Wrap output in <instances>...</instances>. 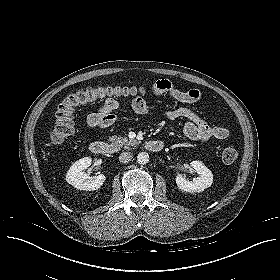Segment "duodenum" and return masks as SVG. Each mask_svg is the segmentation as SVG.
I'll use <instances>...</instances> for the list:
<instances>
[{"label":"duodenum","mask_w":280,"mask_h":280,"mask_svg":"<svg viewBox=\"0 0 280 280\" xmlns=\"http://www.w3.org/2000/svg\"><path fill=\"white\" fill-rule=\"evenodd\" d=\"M145 148L151 153H160L163 150V143L160 140L151 139L145 143ZM90 150L96 155H109L113 152L112 147L103 141H93Z\"/></svg>","instance_id":"1"}]
</instances>
